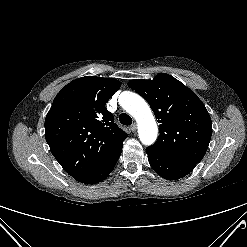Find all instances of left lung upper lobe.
Listing matches in <instances>:
<instances>
[{
  "instance_id": "5c2ea615",
  "label": "left lung upper lobe",
  "mask_w": 247,
  "mask_h": 247,
  "mask_svg": "<svg viewBox=\"0 0 247 247\" xmlns=\"http://www.w3.org/2000/svg\"><path fill=\"white\" fill-rule=\"evenodd\" d=\"M128 86L140 94L158 119L159 137L150 147L171 157L199 163L212 135V121L197 95L171 75L153 80H132Z\"/></svg>"
}]
</instances>
